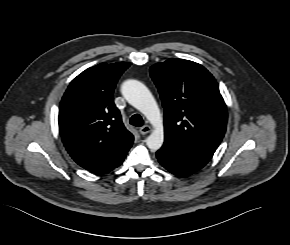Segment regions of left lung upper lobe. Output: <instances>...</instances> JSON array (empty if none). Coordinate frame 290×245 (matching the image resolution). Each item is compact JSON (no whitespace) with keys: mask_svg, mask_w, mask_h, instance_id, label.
<instances>
[{"mask_svg":"<svg viewBox=\"0 0 290 245\" xmlns=\"http://www.w3.org/2000/svg\"><path fill=\"white\" fill-rule=\"evenodd\" d=\"M150 75L164 107V143L211 159L227 124L214 77L202 65L184 59L156 63Z\"/></svg>","mask_w":290,"mask_h":245,"instance_id":"obj_1","label":"left lung upper lobe"}]
</instances>
